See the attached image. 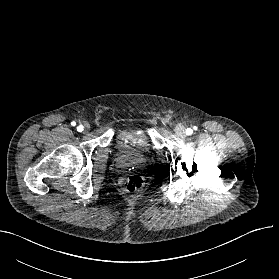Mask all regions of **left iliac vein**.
<instances>
[{
    "label": "left iliac vein",
    "instance_id": "left-iliac-vein-1",
    "mask_svg": "<svg viewBox=\"0 0 279 279\" xmlns=\"http://www.w3.org/2000/svg\"><path fill=\"white\" fill-rule=\"evenodd\" d=\"M175 133L177 136L183 138L185 137V128L182 125H177L175 128Z\"/></svg>",
    "mask_w": 279,
    "mask_h": 279
}]
</instances>
